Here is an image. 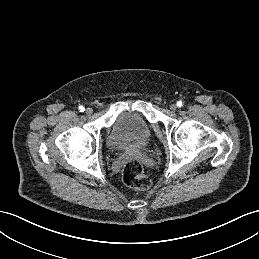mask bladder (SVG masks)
Returning <instances> with one entry per match:
<instances>
[{"label": "bladder", "instance_id": "31cf9c89", "mask_svg": "<svg viewBox=\"0 0 259 259\" xmlns=\"http://www.w3.org/2000/svg\"><path fill=\"white\" fill-rule=\"evenodd\" d=\"M151 139L147 120L135 110L120 112L112 125L108 145L112 149L140 148Z\"/></svg>", "mask_w": 259, "mask_h": 259}]
</instances>
